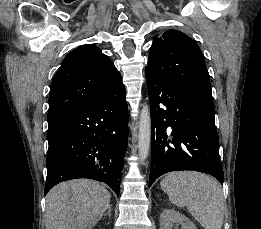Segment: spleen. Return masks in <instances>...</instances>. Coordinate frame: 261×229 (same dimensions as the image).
I'll return each mask as SVG.
<instances>
[{"label":"spleen","instance_id":"3e777b00","mask_svg":"<svg viewBox=\"0 0 261 229\" xmlns=\"http://www.w3.org/2000/svg\"><path fill=\"white\" fill-rule=\"evenodd\" d=\"M160 185L169 201L179 209L187 207L203 229H222L224 197L212 177L197 171H173L167 173Z\"/></svg>","mask_w":261,"mask_h":229}]
</instances>
